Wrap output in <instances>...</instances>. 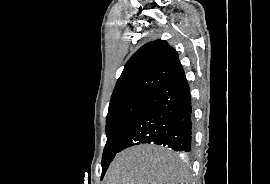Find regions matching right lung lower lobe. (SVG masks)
I'll use <instances>...</instances> for the list:
<instances>
[{
	"label": "right lung lower lobe",
	"mask_w": 270,
	"mask_h": 184,
	"mask_svg": "<svg viewBox=\"0 0 270 184\" xmlns=\"http://www.w3.org/2000/svg\"><path fill=\"white\" fill-rule=\"evenodd\" d=\"M141 143L167 145L181 152L192 150V104L183 70L149 96L124 137L119 152Z\"/></svg>",
	"instance_id": "right-lung-lower-lobe-1"
}]
</instances>
